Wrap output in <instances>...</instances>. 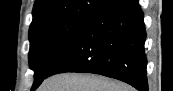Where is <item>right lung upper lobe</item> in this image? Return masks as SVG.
Returning a JSON list of instances; mask_svg holds the SVG:
<instances>
[{
    "mask_svg": "<svg viewBox=\"0 0 173 91\" xmlns=\"http://www.w3.org/2000/svg\"><path fill=\"white\" fill-rule=\"evenodd\" d=\"M114 0H36L32 25L70 17H91Z\"/></svg>",
    "mask_w": 173,
    "mask_h": 91,
    "instance_id": "obj_1",
    "label": "right lung upper lobe"
}]
</instances>
